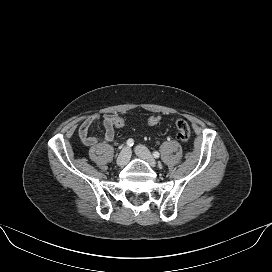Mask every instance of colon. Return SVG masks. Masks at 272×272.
I'll return each mask as SVG.
<instances>
[{
  "instance_id": "5ec220e1",
  "label": "colon",
  "mask_w": 272,
  "mask_h": 272,
  "mask_svg": "<svg viewBox=\"0 0 272 272\" xmlns=\"http://www.w3.org/2000/svg\"><path fill=\"white\" fill-rule=\"evenodd\" d=\"M162 117L159 114H153L149 117L148 123L150 126H156L160 123ZM125 124V120L118 116L114 120V127L119 129L123 127ZM175 127L177 130V137L180 141L186 142L191 137V130L189 124L183 119H177L175 122Z\"/></svg>"
}]
</instances>
